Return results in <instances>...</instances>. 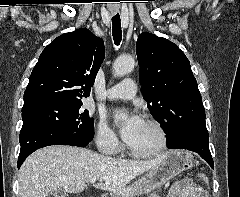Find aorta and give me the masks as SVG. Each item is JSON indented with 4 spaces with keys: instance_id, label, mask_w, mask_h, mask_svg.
<instances>
[{
    "instance_id": "obj_1",
    "label": "aorta",
    "mask_w": 240,
    "mask_h": 197,
    "mask_svg": "<svg viewBox=\"0 0 240 197\" xmlns=\"http://www.w3.org/2000/svg\"><path fill=\"white\" fill-rule=\"evenodd\" d=\"M134 59L131 56H121L113 64V74L115 77H122L132 71Z\"/></svg>"
}]
</instances>
